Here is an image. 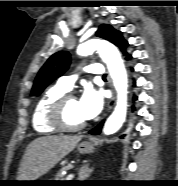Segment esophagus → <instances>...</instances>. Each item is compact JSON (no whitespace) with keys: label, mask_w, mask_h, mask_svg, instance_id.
<instances>
[{"label":"esophagus","mask_w":178,"mask_h":186,"mask_svg":"<svg viewBox=\"0 0 178 186\" xmlns=\"http://www.w3.org/2000/svg\"><path fill=\"white\" fill-rule=\"evenodd\" d=\"M108 80H109L110 84L112 85L110 76H108ZM114 102H115V95H114V91L112 88V98L110 99L108 106H107L108 111H110L113 108Z\"/></svg>","instance_id":"34e87169"}]
</instances>
